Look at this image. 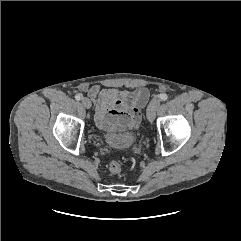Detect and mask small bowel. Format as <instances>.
Segmentation results:
<instances>
[{
  "label": "small bowel",
  "mask_w": 241,
  "mask_h": 241,
  "mask_svg": "<svg viewBox=\"0 0 241 241\" xmlns=\"http://www.w3.org/2000/svg\"><path fill=\"white\" fill-rule=\"evenodd\" d=\"M95 105V122L104 131L130 132L138 128L141 109L148 102L150 93L144 87L119 90L92 86L88 91Z\"/></svg>",
  "instance_id": "obj_1"
}]
</instances>
